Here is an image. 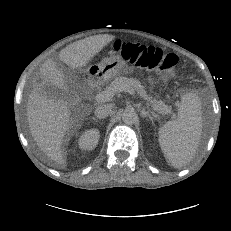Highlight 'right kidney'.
Masks as SVG:
<instances>
[{"instance_id": "1", "label": "right kidney", "mask_w": 231, "mask_h": 231, "mask_svg": "<svg viewBox=\"0 0 231 231\" xmlns=\"http://www.w3.org/2000/svg\"><path fill=\"white\" fill-rule=\"evenodd\" d=\"M99 130L98 129H89L84 131L79 139H78V145L81 150H92L94 149L99 141Z\"/></svg>"}]
</instances>
